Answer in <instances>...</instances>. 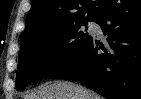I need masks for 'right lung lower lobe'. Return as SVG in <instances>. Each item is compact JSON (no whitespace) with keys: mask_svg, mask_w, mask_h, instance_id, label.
I'll use <instances>...</instances> for the list:
<instances>
[{"mask_svg":"<svg viewBox=\"0 0 141 99\" xmlns=\"http://www.w3.org/2000/svg\"><path fill=\"white\" fill-rule=\"evenodd\" d=\"M95 22L107 43L92 38L54 76L81 81L108 99H141V0H115Z\"/></svg>","mask_w":141,"mask_h":99,"instance_id":"98d812e1","label":"right lung lower lobe"}]
</instances>
